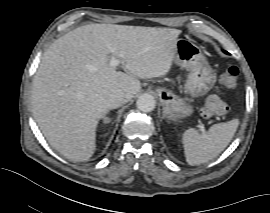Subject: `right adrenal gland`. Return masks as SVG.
<instances>
[{
	"label": "right adrenal gland",
	"instance_id": "2a0ac1e0",
	"mask_svg": "<svg viewBox=\"0 0 270 213\" xmlns=\"http://www.w3.org/2000/svg\"><path fill=\"white\" fill-rule=\"evenodd\" d=\"M110 121H111V119L109 117H104V119H103V122L105 124L109 123Z\"/></svg>",
	"mask_w": 270,
	"mask_h": 213
}]
</instances>
